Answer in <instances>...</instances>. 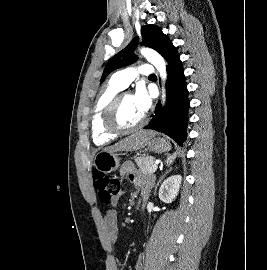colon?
<instances>
[{
	"mask_svg": "<svg viewBox=\"0 0 267 270\" xmlns=\"http://www.w3.org/2000/svg\"><path fill=\"white\" fill-rule=\"evenodd\" d=\"M93 185L102 203L112 201L120 193V180L103 172L94 174Z\"/></svg>",
	"mask_w": 267,
	"mask_h": 270,
	"instance_id": "1",
	"label": "colon"
}]
</instances>
